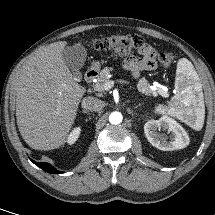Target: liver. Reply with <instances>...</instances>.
I'll return each instance as SVG.
<instances>
[{
	"label": "liver",
	"mask_w": 215,
	"mask_h": 215,
	"mask_svg": "<svg viewBox=\"0 0 215 215\" xmlns=\"http://www.w3.org/2000/svg\"><path fill=\"white\" fill-rule=\"evenodd\" d=\"M66 45L59 41L36 50L16 75L17 125L36 150L56 149L66 142L86 91L62 58Z\"/></svg>",
	"instance_id": "6515ba94"
}]
</instances>
